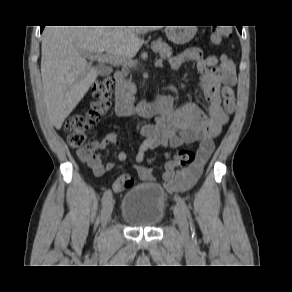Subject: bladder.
I'll use <instances>...</instances> for the list:
<instances>
[{"instance_id":"bladder-1","label":"bladder","mask_w":292,"mask_h":292,"mask_svg":"<svg viewBox=\"0 0 292 292\" xmlns=\"http://www.w3.org/2000/svg\"><path fill=\"white\" fill-rule=\"evenodd\" d=\"M167 199L162 188L143 183L130 188L123 198L120 215L133 228H153L164 218Z\"/></svg>"}]
</instances>
